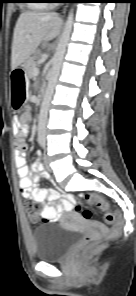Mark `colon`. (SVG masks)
Returning <instances> with one entry per match:
<instances>
[{"instance_id":"5ec220e1","label":"colon","mask_w":136,"mask_h":296,"mask_svg":"<svg viewBox=\"0 0 136 296\" xmlns=\"http://www.w3.org/2000/svg\"><path fill=\"white\" fill-rule=\"evenodd\" d=\"M86 199L104 211V221L106 224L112 225L116 229H119L122 226V218L120 214L114 210H111L104 199L95 195H87ZM24 207L26 212L30 215H36L38 212V205L34 202H27L25 203ZM74 209L75 211L81 213L85 219L91 218V211L89 209L83 208L79 204H76ZM96 244L97 242L93 238L87 237L80 251L82 253H87L91 251L96 246Z\"/></svg>"}]
</instances>
